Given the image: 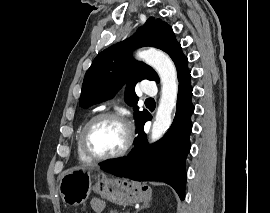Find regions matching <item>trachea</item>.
Here are the masks:
<instances>
[{
	"label": "trachea",
	"mask_w": 270,
	"mask_h": 213,
	"mask_svg": "<svg viewBox=\"0 0 270 213\" xmlns=\"http://www.w3.org/2000/svg\"><path fill=\"white\" fill-rule=\"evenodd\" d=\"M150 101H154V99L153 98L146 99V102H150Z\"/></svg>",
	"instance_id": "obj_1"
}]
</instances>
